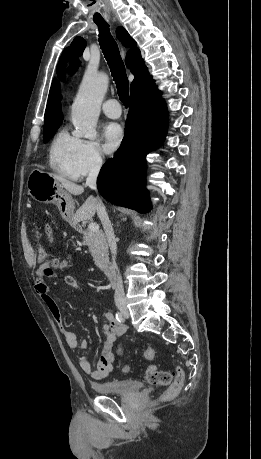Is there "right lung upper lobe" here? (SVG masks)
<instances>
[{"label": "right lung upper lobe", "instance_id": "right-lung-upper-lobe-1", "mask_svg": "<svg viewBox=\"0 0 261 459\" xmlns=\"http://www.w3.org/2000/svg\"><path fill=\"white\" fill-rule=\"evenodd\" d=\"M117 37L125 47L130 48L126 55V65L134 75V80L130 87V98L154 88V80L149 74L143 59L141 58L140 50L136 47V42L129 36L124 28L117 29ZM60 85L59 82L53 80L48 103L44 116V125L57 124L62 122L61 104L59 101Z\"/></svg>", "mask_w": 261, "mask_h": 459}]
</instances>
